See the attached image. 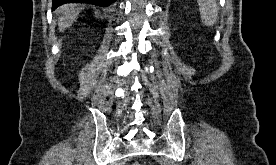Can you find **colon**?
I'll return each instance as SVG.
<instances>
[{"label":"colon","instance_id":"obj_1","mask_svg":"<svg viewBox=\"0 0 276 165\" xmlns=\"http://www.w3.org/2000/svg\"><path fill=\"white\" fill-rule=\"evenodd\" d=\"M133 165H141V164H139V163H136V164H133Z\"/></svg>","mask_w":276,"mask_h":165}]
</instances>
